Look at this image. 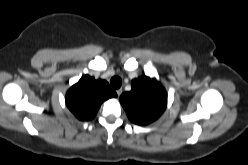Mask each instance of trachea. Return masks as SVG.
I'll return each instance as SVG.
<instances>
[{"label": "trachea", "instance_id": "trachea-1", "mask_svg": "<svg viewBox=\"0 0 248 165\" xmlns=\"http://www.w3.org/2000/svg\"><path fill=\"white\" fill-rule=\"evenodd\" d=\"M110 84L114 89H118L122 85V80L120 77L115 76L110 80Z\"/></svg>", "mask_w": 248, "mask_h": 165}]
</instances>
